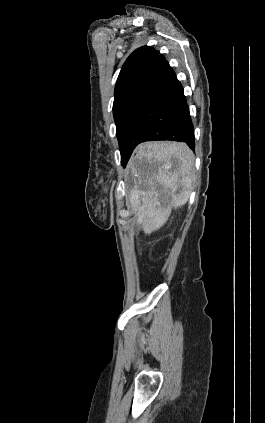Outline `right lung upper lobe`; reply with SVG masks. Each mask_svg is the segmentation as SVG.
I'll return each instance as SVG.
<instances>
[{"mask_svg": "<svg viewBox=\"0 0 265 423\" xmlns=\"http://www.w3.org/2000/svg\"><path fill=\"white\" fill-rule=\"evenodd\" d=\"M163 55L149 46L136 49L125 61L115 86L114 102L132 94H148L169 71Z\"/></svg>", "mask_w": 265, "mask_h": 423, "instance_id": "obj_1", "label": "right lung upper lobe"}]
</instances>
